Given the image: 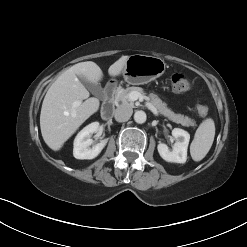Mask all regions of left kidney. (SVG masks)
<instances>
[{
  "label": "left kidney",
  "mask_w": 247,
  "mask_h": 247,
  "mask_svg": "<svg viewBox=\"0 0 247 247\" xmlns=\"http://www.w3.org/2000/svg\"><path fill=\"white\" fill-rule=\"evenodd\" d=\"M172 135L176 139L172 151L164 143H159L157 146L160 156L167 162L185 163L187 160V148L190 140V135L187 131L174 128Z\"/></svg>",
  "instance_id": "5707ae66"
}]
</instances>
